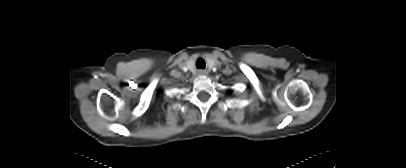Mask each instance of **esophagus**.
I'll return each instance as SVG.
<instances>
[{"instance_id":"34e87169","label":"esophagus","mask_w":406,"mask_h":168,"mask_svg":"<svg viewBox=\"0 0 406 168\" xmlns=\"http://www.w3.org/2000/svg\"><path fill=\"white\" fill-rule=\"evenodd\" d=\"M206 72L205 71H200V74H205Z\"/></svg>"}]
</instances>
